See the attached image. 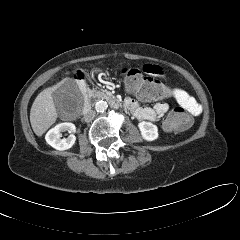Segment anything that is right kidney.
Segmentation results:
<instances>
[{
	"instance_id": "ca27d5eb",
	"label": "right kidney",
	"mask_w": 240,
	"mask_h": 240,
	"mask_svg": "<svg viewBox=\"0 0 240 240\" xmlns=\"http://www.w3.org/2000/svg\"><path fill=\"white\" fill-rule=\"evenodd\" d=\"M65 131L73 133L76 131V127L73 123H60L47 132L45 136L46 142L56 150H67L71 148L75 143L76 137L71 134L67 138L61 139V133Z\"/></svg>"
}]
</instances>
